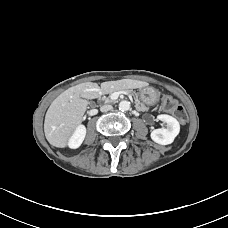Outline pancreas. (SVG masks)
Returning <instances> with one entry per match:
<instances>
[{
	"label": "pancreas",
	"mask_w": 228,
	"mask_h": 228,
	"mask_svg": "<svg viewBox=\"0 0 228 228\" xmlns=\"http://www.w3.org/2000/svg\"><path fill=\"white\" fill-rule=\"evenodd\" d=\"M115 90H112V91H109L108 93H113ZM129 95L133 96L134 97V102H135V105H136V108L138 110H148V107L146 105H143L140 100L138 99L137 95L131 91V90H127L126 91ZM103 100L105 101V103H113L114 100H112L110 97H104Z\"/></svg>",
	"instance_id": "1"
}]
</instances>
